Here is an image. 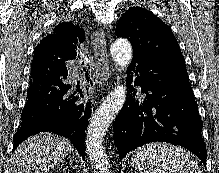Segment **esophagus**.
<instances>
[{"mask_svg":"<svg viewBox=\"0 0 219 173\" xmlns=\"http://www.w3.org/2000/svg\"><path fill=\"white\" fill-rule=\"evenodd\" d=\"M92 45L95 59L100 67V80L107 81L110 76L109 59L107 54V44L103 28H99L92 36Z\"/></svg>","mask_w":219,"mask_h":173,"instance_id":"34e87169","label":"esophagus"}]
</instances>
